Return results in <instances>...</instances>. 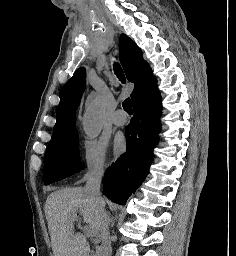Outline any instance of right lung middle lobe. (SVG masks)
I'll return each mask as SVG.
<instances>
[{"label": "right lung middle lobe", "instance_id": "1", "mask_svg": "<svg viewBox=\"0 0 236 256\" xmlns=\"http://www.w3.org/2000/svg\"><path fill=\"white\" fill-rule=\"evenodd\" d=\"M82 168L76 130L65 137L50 141L44 156L45 185L62 180L72 175L73 170Z\"/></svg>", "mask_w": 236, "mask_h": 256}]
</instances>
